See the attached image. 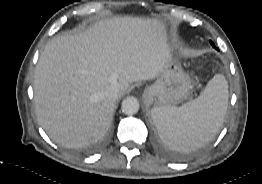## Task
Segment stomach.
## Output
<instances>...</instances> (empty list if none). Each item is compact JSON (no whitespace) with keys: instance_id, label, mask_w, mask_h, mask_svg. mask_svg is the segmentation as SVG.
<instances>
[{"instance_id":"1","label":"stomach","mask_w":262,"mask_h":184,"mask_svg":"<svg viewBox=\"0 0 262 184\" xmlns=\"http://www.w3.org/2000/svg\"><path fill=\"white\" fill-rule=\"evenodd\" d=\"M194 83L181 65L171 61L156 81L144 90V96L158 107L175 106L188 100Z\"/></svg>"}]
</instances>
